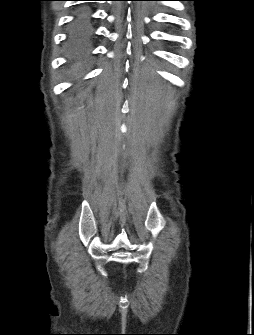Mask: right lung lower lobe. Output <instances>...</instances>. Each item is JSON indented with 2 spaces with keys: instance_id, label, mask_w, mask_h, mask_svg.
<instances>
[{
  "instance_id": "right-lung-lower-lobe-1",
  "label": "right lung lower lobe",
  "mask_w": 254,
  "mask_h": 335,
  "mask_svg": "<svg viewBox=\"0 0 254 335\" xmlns=\"http://www.w3.org/2000/svg\"><path fill=\"white\" fill-rule=\"evenodd\" d=\"M81 19H83L87 25L91 26L89 8H86V7L80 8L78 13L76 14V17L73 23H77Z\"/></svg>"
}]
</instances>
